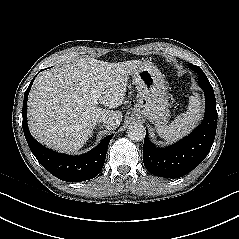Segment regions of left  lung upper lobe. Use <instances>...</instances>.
<instances>
[{"mask_svg":"<svg viewBox=\"0 0 239 239\" xmlns=\"http://www.w3.org/2000/svg\"><path fill=\"white\" fill-rule=\"evenodd\" d=\"M189 67L199 75V80L208 81L206 75L204 74V72L202 71V69L199 66L189 63Z\"/></svg>","mask_w":239,"mask_h":239,"instance_id":"1","label":"left lung upper lobe"}]
</instances>
